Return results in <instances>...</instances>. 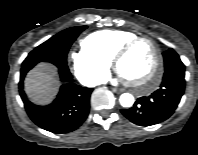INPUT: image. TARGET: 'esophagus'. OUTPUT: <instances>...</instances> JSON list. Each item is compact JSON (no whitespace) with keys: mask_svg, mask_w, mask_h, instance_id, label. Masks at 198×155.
<instances>
[{"mask_svg":"<svg viewBox=\"0 0 198 155\" xmlns=\"http://www.w3.org/2000/svg\"><path fill=\"white\" fill-rule=\"evenodd\" d=\"M112 92H114V93H121L122 90L117 89V88H112Z\"/></svg>","mask_w":198,"mask_h":155,"instance_id":"34e87169","label":"esophagus"}]
</instances>
